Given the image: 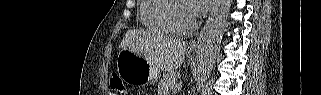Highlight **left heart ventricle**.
Returning a JSON list of instances; mask_svg holds the SVG:
<instances>
[{"label": "left heart ventricle", "mask_w": 321, "mask_h": 95, "mask_svg": "<svg viewBox=\"0 0 321 95\" xmlns=\"http://www.w3.org/2000/svg\"><path fill=\"white\" fill-rule=\"evenodd\" d=\"M174 17L177 24L184 28L189 27L194 20V17L191 15L188 8L184 5L177 6V8L175 9Z\"/></svg>", "instance_id": "b2bd125f"}]
</instances>
